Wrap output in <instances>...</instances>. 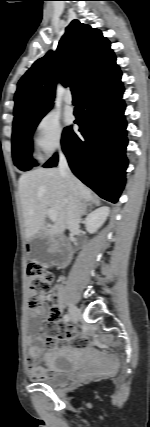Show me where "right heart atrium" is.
<instances>
[{
  "instance_id": "1",
  "label": "right heart atrium",
  "mask_w": 150,
  "mask_h": 427,
  "mask_svg": "<svg viewBox=\"0 0 150 427\" xmlns=\"http://www.w3.org/2000/svg\"><path fill=\"white\" fill-rule=\"evenodd\" d=\"M64 130L59 117L47 112L35 124L34 143L42 157L52 156L62 149Z\"/></svg>"
}]
</instances>
